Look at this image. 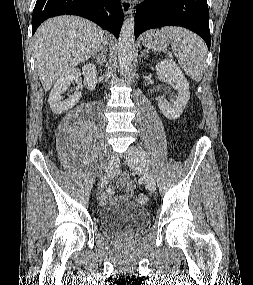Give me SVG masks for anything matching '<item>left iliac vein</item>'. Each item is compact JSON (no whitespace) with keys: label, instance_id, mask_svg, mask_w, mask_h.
<instances>
[{"label":"left iliac vein","instance_id":"1","mask_svg":"<svg viewBox=\"0 0 253 285\" xmlns=\"http://www.w3.org/2000/svg\"><path fill=\"white\" fill-rule=\"evenodd\" d=\"M129 167L140 174L150 192H154L156 189V183L153 174L148 169L146 163L140 155V151L137 147L131 146L126 157Z\"/></svg>","mask_w":253,"mask_h":285}]
</instances>
